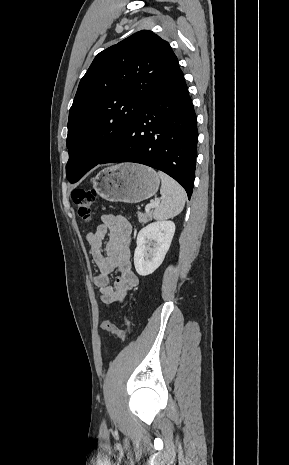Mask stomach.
I'll list each match as a JSON object with an SVG mask.
<instances>
[{
  "label": "stomach",
  "mask_w": 289,
  "mask_h": 465,
  "mask_svg": "<svg viewBox=\"0 0 289 465\" xmlns=\"http://www.w3.org/2000/svg\"><path fill=\"white\" fill-rule=\"evenodd\" d=\"M92 183L97 193L107 201L138 203L156 194L160 179L150 167L122 163L103 169Z\"/></svg>",
  "instance_id": "obj_1"
}]
</instances>
